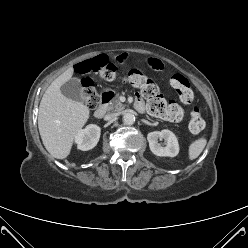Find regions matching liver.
Returning a JSON list of instances; mask_svg holds the SVG:
<instances>
[{
  "mask_svg": "<svg viewBox=\"0 0 248 248\" xmlns=\"http://www.w3.org/2000/svg\"><path fill=\"white\" fill-rule=\"evenodd\" d=\"M73 68L59 75L45 91L38 113V128L47 151L57 159L66 158L90 111L83 103L65 97L60 87L71 79Z\"/></svg>",
  "mask_w": 248,
  "mask_h": 248,
  "instance_id": "1",
  "label": "liver"
}]
</instances>
